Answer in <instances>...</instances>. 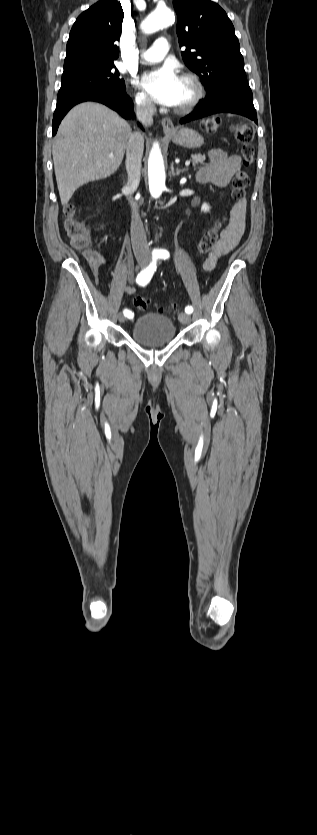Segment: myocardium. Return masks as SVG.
I'll list each match as a JSON object with an SVG mask.
<instances>
[{
	"label": "myocardium",
	"mask_w": 317,
	"mask_h": 835,
	"mask_svg": "<svg viewBox=\"0 0 317 835\" xmlns=\"http://www.w3.org/2000/svg\"><path fill=\"white\" fill-rule=\"evenodd\" d=\"M181 80L185 81L191 88L190 98L182 105L175 107V112L185 114L192 111L204 97V87L198 76L192 73H184Z\"/></svg>",
	"instance_id": "obj_1"
}]
</instances>
